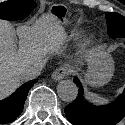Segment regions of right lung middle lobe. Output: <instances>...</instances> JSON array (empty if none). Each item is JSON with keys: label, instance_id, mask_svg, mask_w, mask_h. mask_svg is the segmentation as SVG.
Segmentation results:
<instances>
[{"label": "right lung middle lobe", "instance_id": "right-lung-middle-lobe-1", "mask_svg": "<svg viewBox=\"0 0 125 125\" xmlns=\"http://www.w3.org/2000/svg\"><path fill=\"white\" fill-rule=\"evenodd\" d=\"M36 3L33 0H9L0 3V19L19 20L32 12Z\"/></svg>", "mask_w": 125, "mask_h": 125}]
</instances>
